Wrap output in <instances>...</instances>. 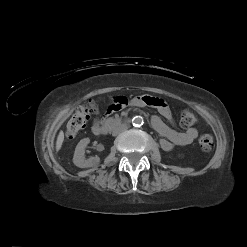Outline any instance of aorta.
<instances>
[{
	"mask_svg": "<svg viewBox=\"0 0 247 247\" xmlns=\"http://www.w3.org/2000/svg\"><path fill=\"white\" fill-rule=\"evenodd\" d=\"M143 118L141 116H134L132 118V124L135 126V127H140L141 125H143Z\"/></svg>",
	"mask_w": 247,
	"mask_h": 247,
	"instance_id": "obj_1",
	"label": "aorta"
}]
</instances>
